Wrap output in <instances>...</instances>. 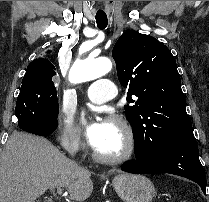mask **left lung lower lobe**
Wrapping results in <instances>:
<instances>
[{
	"label": "left lung lower lobe",
	"mask_w": 209,
	"mask_h": 202,
	"mask_svg": "<svg viewBox=\"0 0 209 202\" xmlns=\"http://www.w3.org/2000/svg\"><path fill=\"white\" fill-rule=\"evenodd\" d=\"M135 160L121 167L128 173H170L198 183L206 194V176L199 160V151L193 133L185 134L168 143L156 153L134 146Z\"/></svg>",
	"instance_id": "1"
}]
</instances>
